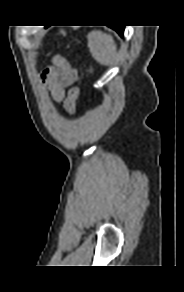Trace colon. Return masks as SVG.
<instances>
[{"label":"colon","instance_id":"obj_1","mask_svg":"<svg viewBox=\"0 0 184 292\" xmlns=\"http://www.w3.org/2000/svg\"><path fill=\"white\" fill-rule=\"evenodd\" d=\"M78 98L79 89L76 87L71 88L68 91L67 97L64 101V107L69 113H74L76 111Z\"/></svg>","mask_w":184,"mask_h":292}]
</instances>
